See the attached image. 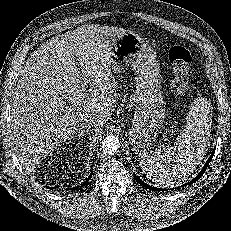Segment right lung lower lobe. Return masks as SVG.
<instances>
[{"instance_id": "right-lung-lower-lobe-1", "label": "right lung lower lobe", "mask_w": 231, "mask_h": 231, "mask_svg": "<svg viewBox=\"0 0 231 231\" xmlns=\"http://www.w3.org/2000/svg\"><path fill=\"white\" fill-rule=\"evenodd\" d=\"M91 176H92V174H90L89 178L86 180V182L83 183V185H84L85 183L88 182V180L91 178ZM77 188H78V187H74V188H71V190H75V189H77ZM51 189H53V188H51Z\"/></svg>"}]
</instances>
